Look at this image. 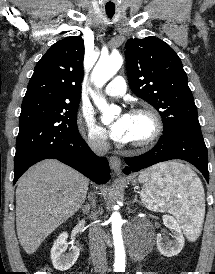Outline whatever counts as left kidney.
Listing matches in <instances>:
<instances>
[{
  "label": "left kidney",
  "instance_id": "left-kidney-1",
  "mask_svg": "<svg viewBox=\"0 0 215 274\" xmlns=\"http://www.w3.org/2000/svg\"><path fill=\"white\" fill-rule=\"evenodd\" d=\"M164 225L170 229L171 236L174 240H169L165 234H159L156 238L159 252L166 257L178 255L184 247V237L181 228L176 219L170 215L163 216Z\"/></svg>",
  "mask_w": 215,
  "mask_h": 274
}]
</instances>
